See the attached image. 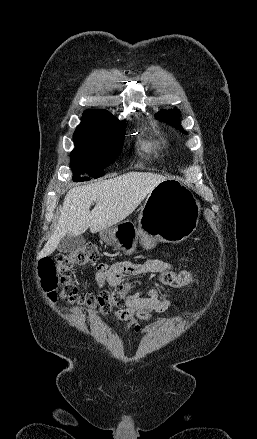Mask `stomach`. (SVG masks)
<instances>
[{"label": "stomach", "instance_id": "1", "mask_svg": "<svg viewBox=\"0 0 257 439\" xmlns=\"http://www.w3.org/2000/svg\"><path fill=\"white\" fill-rule=\"evenodd\" d=\"M199 211L189 188L176 179H166L148 194L137 222L122 221L100 231V237L127 255L135 252L139 237L146 250L154 248L157 241L179 243L196 230Z\"/></svg>", "mask_w": 257, "mask_h": 439}]
</instances>
